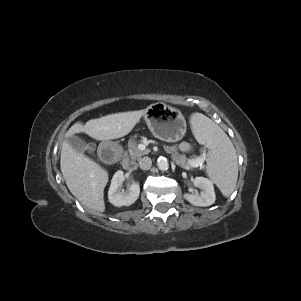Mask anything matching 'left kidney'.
Returning <instances> with one entry per match:
<instances>
[{
  "label": "left kidney",
  "mask_w": 301,
  "mask_h": 301,
  "mask_svg": "<svg viewBox=\"0 0 301 301\" xmlns=\"http://www.w3.org/2000/svg\"><path fill=\"white\" fill-rule=\"evenodd\" d=\"M194 186L200 188L201 194H189L183 195L189 203L194 206L206 207L215 202L216 196L214 191L213 182L204 177H196L193 181Z\"/></svg>",
  "instance_id": "1"
}]
</instances>
